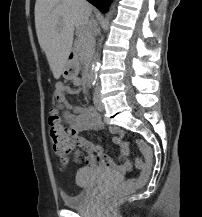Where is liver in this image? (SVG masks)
Wrapping results in <instances>:
<instances>
[{
	"instance_id": "6515ba94",
	"label": "liver",
	"mask_w": 202,
	"mask_h": 217,
	"mask_svg": "<svg viewBox=\"0 0 202 217\" xmlns=\"http://www.w3.org/2000/svg\"><path fill=\"white\" fill-rule=\"evenodd\" d=\"M92 7L83 0H36L35 28L53 76L58 79L72 50L74 29L88 26Z\"/></svg>"
}]
</instances>
